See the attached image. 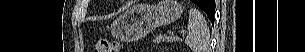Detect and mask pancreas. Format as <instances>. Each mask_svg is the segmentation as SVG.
<instances>
[{"mask_svg": "<svg viewBox=\"0 0 305 52\" xmlns=\"http://www.w3.org/2000/svg\"><path fill=\"white\" fill-rule=\"evenodd\" d=\"M174 41H179V40L170 35H160L155 39V43H162V42L172 43Z\"/></svg>", "mask_w": 305, "mask_h": 52, "instance_id": "pancreas-1", "label": "pancreas"}]
</instances>
